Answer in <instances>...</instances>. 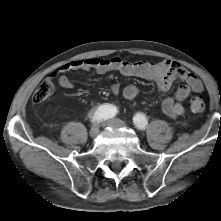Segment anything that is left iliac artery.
Returning <instances> with one entry per match:
<instances>
[{"label":"left iliac artery","instance_id":"1","mask_svg":"<svg viewBox=\"0 0 221 221\" xmlns=\"http://www.w3.org/2000/svg\"><path fill=\"white\" fill-rule=\"evenodd\" d=\"M133 122H134V125L139 129V130H145L147 124H148V121L145 117L144 114H141V113H138L134 116L133 118Z\"/></svg>","mask_w":221,"mask_h":221}]
</instances>
